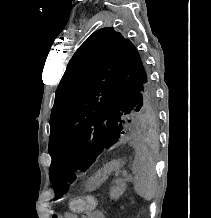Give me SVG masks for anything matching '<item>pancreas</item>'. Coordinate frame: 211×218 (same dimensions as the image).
Masks as SVG:
<instances>
[{
	"instance_id": "cf45deb5",
	"label": "pancreas",
	"mask_w": 211,
	"mask_h": 218,
	"mask_svg": "<svg viewBox=\"0 0 211 218\" xmlns=\"http://www.w3.org/2000/svg\"><path fill=\"white\" fill-rule=\"evenodd\" d=\"M115 184L116 186L110 188L111 200H119L120 196H122L126 190V184L124 180H115Z\"/></svg>"
}]
</instances>
